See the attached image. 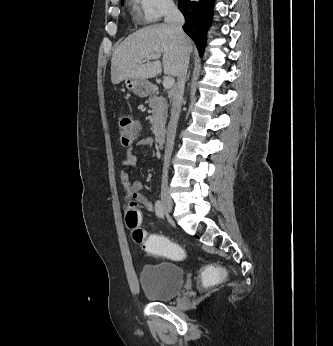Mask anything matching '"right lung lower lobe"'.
Listing matches in <instances>:
<instances>
[{"label": "right lung lower lobe", "instance_id": "right-lung-lower-lobe-1", "mask_svg": "<svg viewBox=\"0 0 333 346\" xmlns=\"http://www.w3.org/2000/svg\"><path fill=\"white\" fill-rule=\"evenodd\" d=\"M214 0H179L178 7L183 13L186 23L183 30L196 44L200 56L206 46L207 30L212 22Z\"/></svg>", "mask_w": 333, "mask_h": 346}]
</instances>
